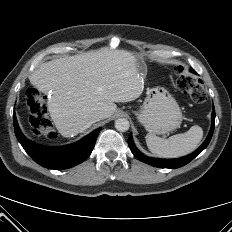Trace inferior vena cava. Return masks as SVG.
<instances>
[{
	"label": "inferior vena cava",
	"mask_w": 232,
	"mask_h": 232,
	"mask_svg": "<svg viewBox=\"0 0 232 232\" xmlns=\"http://www.w3.org/2000/svg\"><path fill=\"white\" fill-rule=\"evenodd\" d=\"M101 118H102V116L99 115V114H92V115L90 116V124H91V123H94V122H96V121H99Z\"/></svg>",
	"instance_id": "obj_1"
}]
</instances>
